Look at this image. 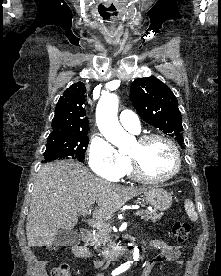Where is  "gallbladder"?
I'll list each match as a JSON object with an SVG mask.
<instances>
[{
    "label": "gallbladder",
    "instance_id": "obj_1",
    "mask_svg": "<svg viewBox=\"0 0 221 276\" xmlns=\"http://www.w3.org/2000/svg\"><path fill=\"white\" fill-rule=\"evenodd\" d=\"M79 236L76 232L59 229L55 240L54 246H71L78 242Z\"/></svg>",
    "mask_w": 221,
    "mask_h": 276
}]
</instances>
